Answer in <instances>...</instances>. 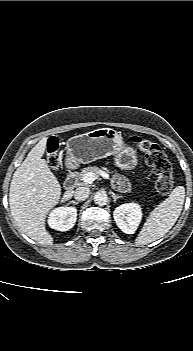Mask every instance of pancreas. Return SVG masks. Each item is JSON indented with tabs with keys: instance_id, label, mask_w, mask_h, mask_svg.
Listing matches in <instances>:
<instances>
[{
	"instance_id": "1",
	"label": "pancreas",
	"mask_w": 193,
	"mask_h": 351,
	"mask_svg": "<svg viewBox=\"0 0 193 351\" xmlns=\"http://www.w3.org/2000/svg\"><path fill=\"white\" fill-rule=\"evenodd\" d=\"M101 171L110 172V170H108L106 167H101V168H99V167H97V166H89V167H87V168H84L80 173H78L77 178L80 179V180H82V179H83V176H84L85 174L89 173V172L94 173V174L96 175V177H98V175H99V173H100ZM111 173H114L113 179L115 180L116 177H118V174L115 173V172H111Z\"/></svg>"
}]
</instances>
